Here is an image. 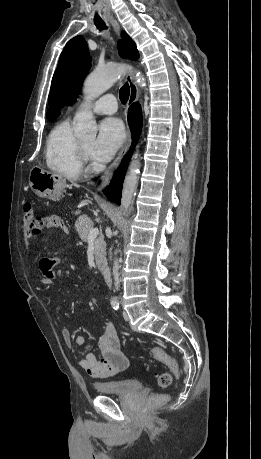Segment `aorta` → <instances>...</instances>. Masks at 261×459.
I'll list each match as a JSON object with an SVG mask.
<instances>
[{"mask_svg": "<svg viewBox=\"0 0 261 459\" xmlns=\"http://www.w3.org/2000/svg\"><path fill=\"white\" fill-rule=\"evenodd\" d=\"M127 69L128 66L126 65L114 64L105 68H97L86 78L83 87L85 105L83 109L77 113L75 118L74 135L76 137L89 139H94L96 137L97 124L91 111L88 109V105L111 88ZM135 78L141 87L145 86L144 78L141 76L140 72L136 73ZM139 173L140 162L137 156H135L130 162L123 184L121 208L124 214L127 213L133 202L134 195L136 194Z\"/></svg>", "mask_w": 261, "mask_h": 459, "instance_id": "762f6f07", "label": "aorta"}]
</instances>
